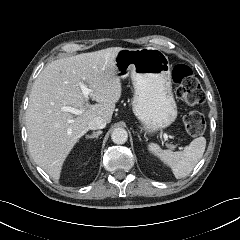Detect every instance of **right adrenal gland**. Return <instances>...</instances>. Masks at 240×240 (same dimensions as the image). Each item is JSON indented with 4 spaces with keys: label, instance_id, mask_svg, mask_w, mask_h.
Wrapping results in <instances>:
<instances>
[{
    "label": "right adrenal gland",
    "instance_id": "2a0ac1e0",
    "mask_svg": "<svg viewBox=\"0 0 240 240\" xmlns=\"http://www.w3.org/2000/svg\"><path fill=\"white\" fill-rule=\"evenodd\" d=\"M100 134H102V131L93 132L91 136H86V139H93V138L98 139V136Z\"/></svg>",
    "mask_w": 240,
    "mask_h": 240
}]
</instances>
